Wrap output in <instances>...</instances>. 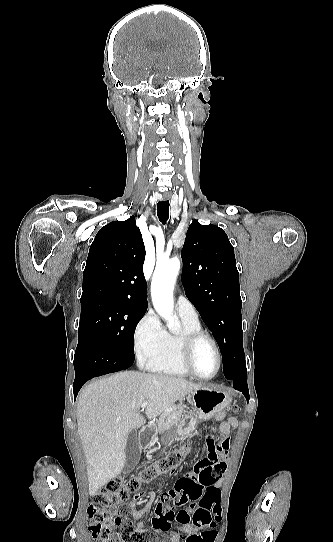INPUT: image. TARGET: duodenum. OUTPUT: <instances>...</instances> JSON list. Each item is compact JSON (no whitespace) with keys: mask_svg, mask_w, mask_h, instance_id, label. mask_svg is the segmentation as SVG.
Listing matches in <instances>:
<instances>
[{"mask_svg":"<svg viewBox=\"0 0 333 542\" xmlns=\"http://www.w3.org/2000/svg\"><path fill=\"white\" fill-rule=\"evenodd\" d=\"M139 444L142 448H147L150 445V440L147 436L141 435L139 438Z\"/></svg>","mask_w":333,"mask_h":542,"instance_id":"1","label":"duodenum"}]
</instances>
